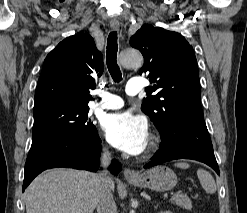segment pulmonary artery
Here are the masks:
<instances>
[{
	"label": "pulmonary artery",
	"instance_id": "pulmonary-artery-1",
	"mask_svg": "<svg viewBox=\"0 0 247 213\" xmlns=\"http://www.w3.org/2000/svg\"><path fill=\"white\" fill-rule=\"evenodd\" d=\"M142 90V78L141 77H133L129 80L126 86V93L129 96H134L140 93ZM101 100L96 103L95 107L98 109H106V110H114L123 107L124 101L121 97L108 93L101 92L100 94Z\"/></svg>",
	"mask_w": 247,
	"mask_h": 213
}]
</instances>
